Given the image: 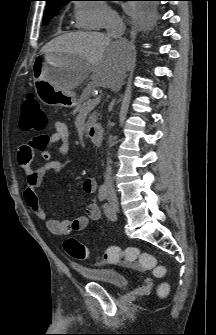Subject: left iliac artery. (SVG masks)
Returning a JSON list of instances; mask_svg holds the SVG:
<instances>
[{"label": "left iliac artery", "instance_id": "left-iliac-artery-1", "mask_svg": "<svg viewBox=\"0 0 216 335\" xmlns=\"http://www.w3.org/2000/svg\"><path fill=\"white\" fill-rule=\"evenodd\" d=\"M103 209H104V213L106 214V216L109 219H111L112 218V209H111V207L107 203H105L103 205Z\"/></svg>", "mask_w": 216, "mask_h": 335}]
</instances>
